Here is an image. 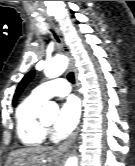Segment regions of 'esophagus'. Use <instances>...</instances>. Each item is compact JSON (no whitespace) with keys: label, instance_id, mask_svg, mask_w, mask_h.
Wrapping results in <instances>:
<instances>
[{"label":"esophagus","instance_id":"obj_1","mask_svg":"<svg viewBox=\"0 0 135 166\" xmlns=\"http://www.w3.org/2000/svg\"><path fill=\"white\" fill-rule=\"evenodd\" d=\"M54 29L58 35V38L61 42V46H62V50L64 52V54L67 56L68 58V67L70 70H72L74 73H75V78H76V82H77V85H79V81H78V78H77V71L75 69V66H74V60L73 58L71 57L70 55V49L69 47L65 44L64 42V38H63V35H62V32L60 31V29L57 27V26H54ZM78 131H79V127L76 129V131L69 137L68 140H66L64 143H62L56 150V152H63L65 151L75 140L77 134H78Z\"/></svg>","mask_w":135,"mask_h":166}]
</instances>
